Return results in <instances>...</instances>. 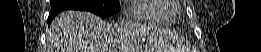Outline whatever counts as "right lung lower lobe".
Wrapping results in <instances>:
<instances>
[{
	"mask_svg": "<svg viewBox=\"0 0 261 52\" xmlns=\"http://www.w3.org/2000/svg\"><path fill=\"white\" fill-rule=\"evenodd\" d=\"M61 11L51 10L48 16V25H50L52 19Z\"/></svg>",
	"mask_w": 261,
	"mask_h": 52,
	"instance_id": "1",
	"label": "right lung lower lobe"
}]
</instances>
